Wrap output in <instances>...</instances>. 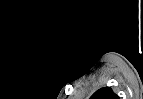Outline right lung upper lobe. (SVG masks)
<instances>
[{
	"label": "right lung upper lobe",
	"instance_id": "1",
	"mask_svg": "<svg viewBox=\"0 0 143 99\" xmlns=\"http://www.w3.org/2000/svg\"><path fill=\"white\" fill-rule=\"evenodd\" d=\"M90 99H119L110 87H103L97 90Z\"/></svg>",
	"mask_w": 143,
	"mask_h": 99
}]
</instances>
